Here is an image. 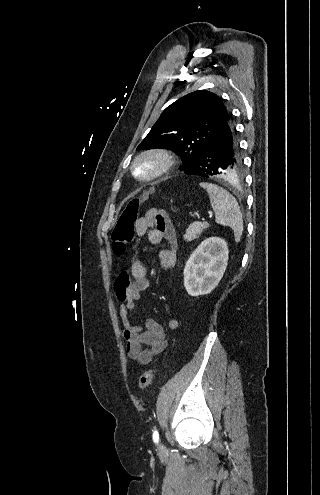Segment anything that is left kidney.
<instances>
[{"instance_id":"obj_1","label":"left kidney","mask_w":320,"mask_h":495,"mask_svg":"<svg viewBox=\"0 0 320 495\" xmlns=\"http://www.w3.org/2000/svg\"><path fill=\"white\" fill-rule=\"evenodd\" d=\"M225 240L209 237L190 255L184 268V286L191 296L210 293L220 282L227 267Z\"/></svg>"}]
</instances>
